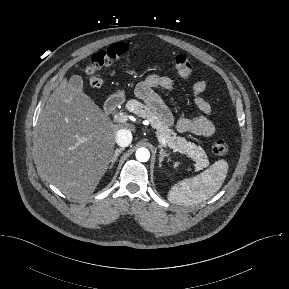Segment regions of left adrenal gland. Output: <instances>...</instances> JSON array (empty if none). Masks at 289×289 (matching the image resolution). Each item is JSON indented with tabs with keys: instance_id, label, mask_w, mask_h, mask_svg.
Segmentation results:
<instances>
[{
	"instance_id": "left-adrenal-gland-1",
	"label": "left adrenal gland",
	"mask_w": 289,
	"mask_h": 289,
	"mask_svg": "<svg viewBox=\"0 0 289 289\" xmlns=\"http://www.w3.org/2000/svg\"><path fill=\"white\" fill-rule=\"evenodd\" d=\"M160 148V152H159V166L161 167L162 166V161L165 157L168 158V153L163 149V147L160 145L159 146Z\"/></svg>"
}]
</instances>
